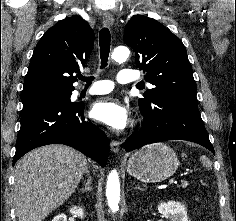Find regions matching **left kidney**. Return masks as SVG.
<instances>
[{"mask_svg":"<svg viewBox=\"0 0 236 221\" xmlns=\"http://www.w3.org/2000/svg\"><path fill=\"white\" fill-rule=\"evenodd\" d=\"M158 211L170 221H188L186 208L180 202L160 203Z\"/></svg>","mask_w":236,"mask_h":221,"instance_id":"5707ae66","label":"left kidney"}]
</instances>
